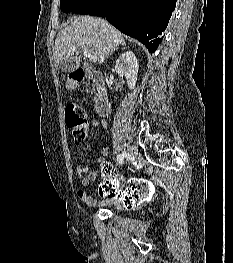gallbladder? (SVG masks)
Listing matches in <instances>:
<instances>
[{
  "mask_svg": "<svg viewBox=\"0 0 233 263\" xmlns=\"http://www.w3.org/2000/svg\"><path fill=\"white\" fill-rule=\"evenodd\" d=\"M73 68V62L71 61H65V60H61V62L59 63V69L62 71H70Z\"/></svg>",
  "mask_w": 233,
  "mask_h": 263,
  "instance_id": "obj_1",
  "label": "gallbladder"
}]
</instances>
